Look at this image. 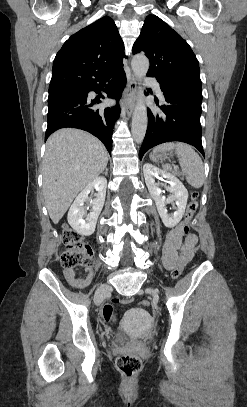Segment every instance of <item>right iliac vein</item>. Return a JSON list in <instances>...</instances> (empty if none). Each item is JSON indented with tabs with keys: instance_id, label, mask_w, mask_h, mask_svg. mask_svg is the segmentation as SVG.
Wrapping results in <instances>:
<instances>
[{
	"instance_id": "63e3f726",
	"label": "right iliac vein",
	"mask_w": 247,
	"mask_h": 407,
	"mask_svg": "<svg viewBox=\"0 0 247 407\" xmlns=\"http://www.w3.org/2000/svg\"><path fill=\"white\" fill-rule=\"evenodd\" d=\"M109 291H111V286L109 284H102L98 287L95 293L96 305H100L103 302L106 293H108Z\"/></svg>"
}]
</instances>
